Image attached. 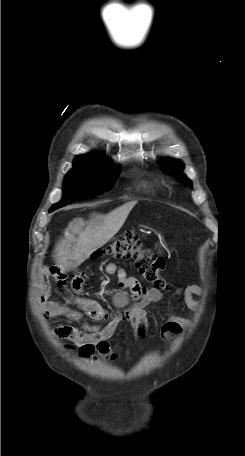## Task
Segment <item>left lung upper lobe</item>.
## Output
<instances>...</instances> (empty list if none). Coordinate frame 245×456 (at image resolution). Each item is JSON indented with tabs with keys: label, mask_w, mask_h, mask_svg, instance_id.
<instances>
[{
	"label": "left lung upper lobe",
	"mask_w": 245,
	"mask_h": 456,
	"mask_svg": "<svg viewBox=\"0 0 245 456\" xmlns=\"http://www.w3.org/2000/svg\"><path fill=\"white\" fill-rule=\"evenodd\" d=\"M162 167L166 174H170L179 182L191 186L190 180L182 173L184 166L180 161L170 160L163 163Z\"/></svg>",
	"instance_id": "1"
}]
</instances>
